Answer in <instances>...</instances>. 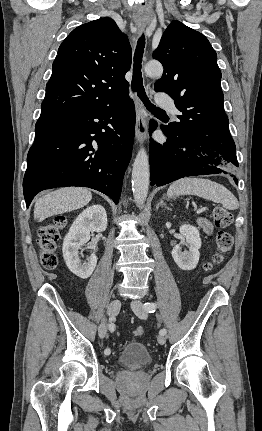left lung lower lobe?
<instances>
[{
    "label": "left lung lower lobe",
    "instance_id": "left-lung-lower-lobe-1",
    "mask_svg": "<svg viewBox=\"0 0 262 431\" xmlns=\"http://www.w3.org/2000/svg\"><path fill=\"white\" fill-rule=\"evenodd\" d=\"M157 123L150 121V133ZM168 137L164 144L150 141L151 185L162 186L183 177L225 173L237 183L235 143L227 135L220 145L185 139L161 126Z\"/></svg>",
    "mask_w": 262,
    "mask_h": 431
}]
</instances>
